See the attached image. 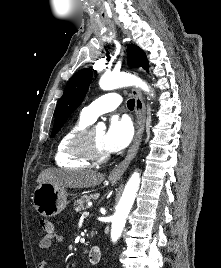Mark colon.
Listing matches in <instances>:
<instances>
[{"label": "colon", "instance_id": "5ec220e1", "mask_svg": "<svg viewBox=\"0 0 221 268\" xmlns=\"http://www.w3.org/2000/svg\"><path fill=\"white\" fill-rule=\"evenodd\" d=\"M40 226L45 232H51L54 228L52 222L47 219H41Z\"/></svg>", "mask_w": 221, "mask_h": 268}]
</instances>
